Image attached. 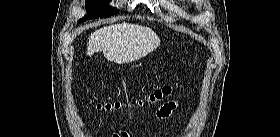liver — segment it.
<instances>
[{
  "instance_id": "1",
  "label": "liver",
  "mask_w": 280,
  "mask_h": 137,
  "mask_svg": "<svg viewBox=\"0 0 280 137\" xmlns=\"http://www.w3.org/2000/svg\"><path fill=\"white\" fill-rule=\"evenodd\" d=\"M160 45V38L149 27L120 23L95 30L87 43V55L103 51L117 64L130 63L147 56Z\"/></svg>"
}]
</instances>
